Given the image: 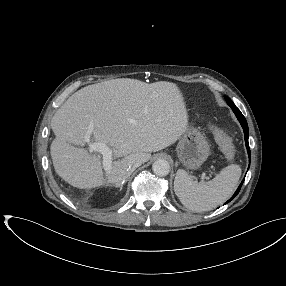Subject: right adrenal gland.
I'll use <instances>...</instances> for the list:
<instances>
[{"instance_id":"2a0ac1e0","label":"right adrenal gland","mask_w":286,"mask_h":286,"mask_svg":"<svg viewBox=\"0 0 286 286\" xmlns=\"http://www.w3.org/2000/svg\"><path fill=\"white\" fill-rule=\"evenodd\" d=\"M123 185H120V190H122Z\"/></svg>"}]
</instances>
